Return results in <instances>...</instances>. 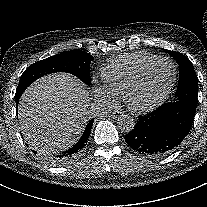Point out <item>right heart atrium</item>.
<instances>
[{"label":"right heart atrium","mask_w":207,"mask_h":207,"mask_svg":"<svg viewBox=\"0 0 207 207\" xmlns=\"http://www.w3.org/2000/svg\"><path fill=\"white\" fill-rule=\"evenodd\" d=\"M92 85L93 92L97 98L106 102H111L113 100L112 94L104 84L98 82L97 80H93Z\"/></svg>","instance_id":"right-heart-atrium-1"}]
</instances>
